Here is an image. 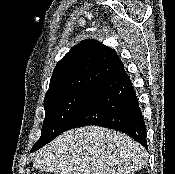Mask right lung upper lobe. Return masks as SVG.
<instances>
[{
    "instance_id": "right-lung-upper-lobe-1",
    "label": "right lung upper lobe",
    "mask_w": 175,
    "mask_h": 174,
    "mask_svg": "<svg viewBox=\"0 0 175 174\" xmlns=\"http://www.w3.org/2000/svg\"><path fill=\"white\" fill-rule=\"evenodd\" d=\"M123 67L113 49L96 40L82 41L56 65L45 99L76 90H92Z\"/></svg>"
}]
</instances>
